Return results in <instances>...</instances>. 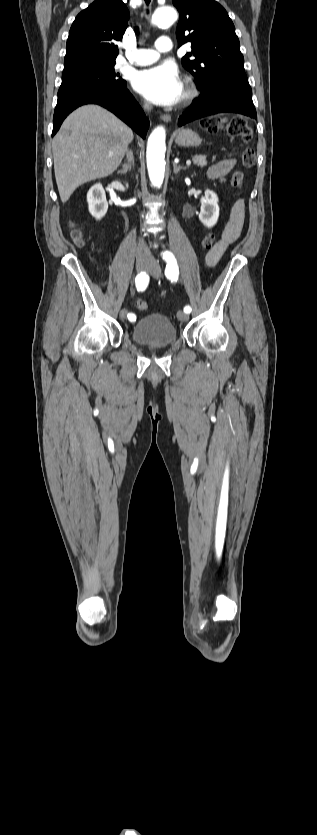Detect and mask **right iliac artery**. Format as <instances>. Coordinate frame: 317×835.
I'll return each instance as SVG.
<instances>
[{"label":"right iliac artery","mask_w":317,"mask_h":835,"mask_svg":"<svg viewBox=\"0 0 317 835\" xmlns=\"http://www.w3.org/2000/svg\"><path fill=\"white\" fill-rule=\"evenodd\" d=\"M148 282H149V277L146 274V272H144V271H141L135 278V284H136V288H137L138 291H144L146 289V287L148 286ZM127 317L130 320L135 319V315L131 314V313H128Z\"/></svg>","instance_id":"1"}]
</instances>
